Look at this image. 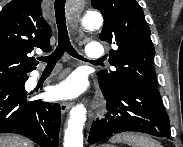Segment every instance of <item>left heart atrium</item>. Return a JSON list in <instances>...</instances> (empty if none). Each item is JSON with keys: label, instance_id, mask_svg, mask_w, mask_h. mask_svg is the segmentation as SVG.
Masks as SVG:
<instances>
[{"label": "left heart atrium", "instance_id": "left-heart-atrium-1", "mask_svg": "<svg viewBox=\"0 0 183 147\" xmlns=\"http://www.w3.org/2000/svg\"><path fill=\"white\" fill-rule=\"evenodd\" d=\"M84 89V80L79 76L73 75L54 88V95L58 99H72L79 96Z\"/></svg>", "mask_w": 183, "mask_h": 147}]
</instances>
